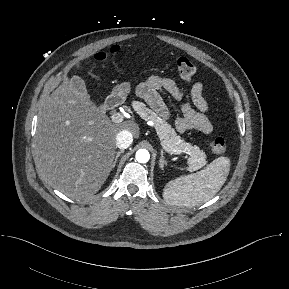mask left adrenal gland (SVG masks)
<instances>
[{"label": "left adrenal gland", "mask_w": 289, "mask_h": 289, "mask_svg": "<svg viewBox=\"0 0 289 289\" xmlns=\"http://www.w3.org/2000/svg\"><path fill=\"white\" fill-rule=\"evenodd\" d=\"M164 152L163 150H161V157H160V160H159V166L162 170H164V164H165V160H164Z\"/></svg>", "instance_id": "a2214340"}]
</instances>
